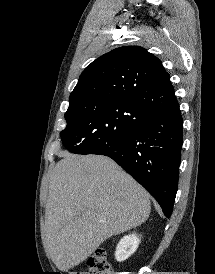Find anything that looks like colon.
I'll use <instances>...</instances> for the list:
<instances>
[{"mask_svg":"<svg viewBox=\"0 0 215 274\" xmlns=\"http://www.w3.org/2000/svg\"><path fill=\"white\" fill-rule=\"evenodd\" d=\"M110 265L104 249H97L88 262L86 272H75L73 274H109Z\"/></svg>","mask_w":215,"mask_h":274,"instance_id":"obj_1","label":"colon"}]
</instances>
